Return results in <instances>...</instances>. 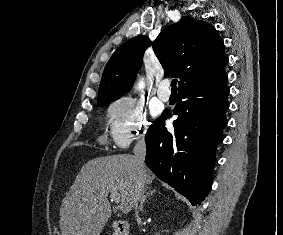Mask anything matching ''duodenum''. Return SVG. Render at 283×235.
Returning a JSON list of instances; mask_svg holds the SVG:
<instances>
[{"instance_id": "410a0bca", "label": "duodenum", "mask_w": 283, "mask_h": 235, "mask_svg": "<svg viewBox=\"0 0 283 235\" xmlns=\"http://www.w3.org/2000/svg\"><path fill=\"white\" fill-rule=\"evenodd\" d=\"M111 228L114 235H128V224L121 220L111 222Z\"/></svg>"}]
</instances>
